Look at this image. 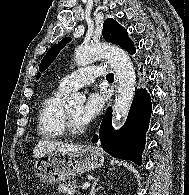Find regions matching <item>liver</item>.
I'll list each match as a JSON object with an SVG mask.
<instances>
[{"mask_svg":"<svg viewBox=\"0 0 189 195\" xmlns=\"http://www.w3.org/2000/svg\"><path fill=\"white\" fill-rule=\"evenodd\" d=\"M84 145L69 144L51 140H40L33 148V156L39 158L52 152H76L83 149Z\"/></svg>","mask_w":189,"mask_h":195,"instance_id":"liver-1","label":"liver"}]
</instances>
